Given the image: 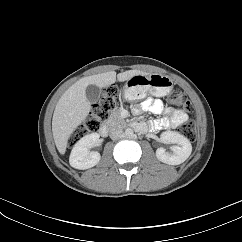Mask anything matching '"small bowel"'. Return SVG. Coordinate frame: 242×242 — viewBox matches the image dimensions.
I'll use <instances>...</instances> for the list:
<instances>
[{
	"instance_id": "small-bowel-1",
	"label": "small bowel",
	"mask_w": 242,
	"mask_h": 242,
	"mask_svg": "<svg viewBox=\"0 0 242 242\" xmlns=\"http://www.w3.org/2000/svg\"><path fill=\"white\" fill-rule=\"evenodd\" d=\"M142 111L153 114H165L164 117L153 120L146 124L143 121H135L134 128L140 132L147 130L160 131L166 129H176L188 120V116L181 110L170 107H165L163 102L159 99L147 98L141 106L134 109L135 114H140Z\"/></svg>"
}]
</instances>
